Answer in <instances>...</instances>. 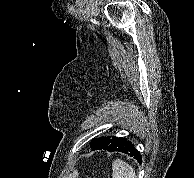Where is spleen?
Returning <instances> with one entry per match:
<instances>
[{"label":"spleen","mask_w":194,"mask_h":178,"mask_svg":"<svg viewBox=\"0 0 194 178\" xmlns=\"http://www.w3.org/2000/svg\"><path fill=\"white\" fill-rule=\"evenodd\" d=\"M113 178H136L134 169L124 161L116 159L112 163Z\"/></svg>","instance_id":"obj_1"}]
</instances>
